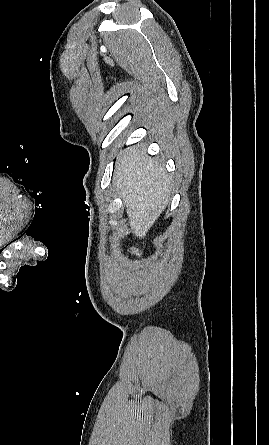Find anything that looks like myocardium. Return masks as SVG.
Segmentation results:
<instances>
[{"instance_id": "obj_1", "label": "myocardium", "mask_w": 269, "mask_h": 445, "mask_svg": "<svg viewBox=\"0 0 269 445\" xmlns=\"http://www.w3.org/2000/svg\"><path fill=\"white\" fill-rule=\"evenodd\" d=\"M5 240H2V241H0V244L2 243V242H4Z\"/></svg>"}]
</instances>
